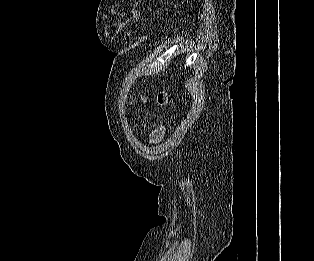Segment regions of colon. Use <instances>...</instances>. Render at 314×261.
<instances>
[{
  "label": "colon",
  "instance_id": "obj_1",
  "mask_svg": "<svg viewBox=\"0 0 314 261\" xmlns=\"http://www.w3.org/2000/svg\"><path fill=\"white\" fill-rule=\"evenodd\" d=\"M168 101V94L165 88L161 89L157 94V102L159 105H165Z\"/></svg>",
  "mask_w": 314,
  "mask_h": 261
}]
</instances>
